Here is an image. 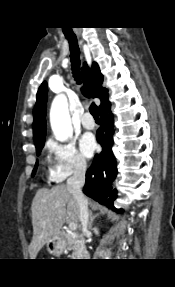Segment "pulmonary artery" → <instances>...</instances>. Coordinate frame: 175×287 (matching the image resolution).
<instances>
[{
  "instance_id": "pulmonary-artery-1",
  "label": "pulmonary artery",
  "mask_w": 175,
  "mask_h": 287,
  "mask_svg": "<svg viewBox=\"0 0 175 287\" xmlns=\"http://www.w3.org/2000/svg\"><path fill=\"white\" fill-rule=\"evenodd\" d=\"M81 123L86 129H93L95 127V121L89 113L83 115L81 118Z\"/></svg>"
}]
</instances>
